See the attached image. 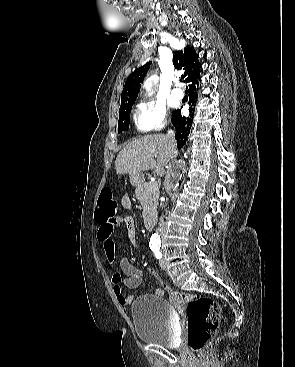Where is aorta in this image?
I'll return each instance as SVG.
<instances>
[{"label":"aorta","instance_id":"aorta-1","mask_svg":"<svg viewBox=\"0 0 295 367\" xmlns=\"http://www.w3.org/2000/svg\"><path fill=\"white\" fill-rule=\"evenodd\" d=\"M152 240H154V241H159L160 240V236L158 235V234H153V236H152Z\"/></svg>","mask_w":295,"mask_h":367}]
</instances>
